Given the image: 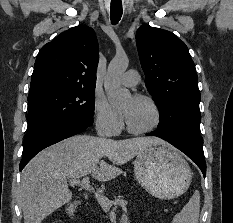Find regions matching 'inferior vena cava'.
Here are the masks:
<instances>
[{
    "label": "inferior vena cava",
    "mask_w": 233,
    "mask_h": 223,
    "mask_svg": "<svg viewBox=\"0 0 233 223\" xmlns=\"http://www.w3.org/2000/svg\"><path fill=\"white\" fill-rule=\"evenodd\" d=\"M97 133L100 135V137H107V135H109V133H107L103 127H98Z\"/></svg>",
    "instance_id": "obj_1"
}]
</instances>
